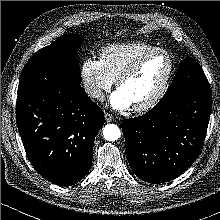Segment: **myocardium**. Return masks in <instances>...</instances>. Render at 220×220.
I'll return each mask as SVG.
<instances>
[{
    "mask_svg": "<svg viewBox=\"0 0 220 220\" xmlns=\"http://www.w3.org/2000/svg\"><path fill=\"white\" fill-rule=\"evenodd\" d=\"M156 54H163L168 57L169 59V70L168 73L158 89V91L148 100L145 102L133 106V109L136 112H143L152 109L155 107L165 96L170 83L173 79L174 72H175V61L172 55L165 49L162 48H155L153 50H150L144 54H142L137 60H135L125 71H123L116 79V86L119 88V86L127 79L134 76L141 68L142 64L150 57L156 55Z\"/></svg>",
    "mask_w": 220,
    "mask_h": 220,
    "instance_id": "myocardium-1",
    "label": "myocardium"
}]
</instances>
